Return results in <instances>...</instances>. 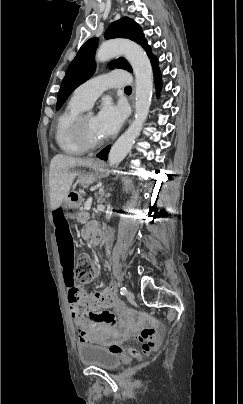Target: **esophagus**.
Instances as JSON below:
<instances>
[{
    "instance_id": "obj_1",
    "label": "esophagus",
    "mask_w": 243,
    "mask_h": 404,
    "mask_svg": "<svg viewBox=\"0 0 243 404\" xmlns=\"http://www.w3.org/2000/svg\"><path fill=\"white\" fill-rule=\"evenodd\" d=\"M134 98H135V95H134V92H133V100H132V106H133V108L135 107V100H134Z\"/></svg>"
}]
</instances>
